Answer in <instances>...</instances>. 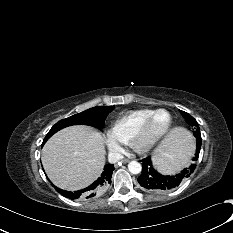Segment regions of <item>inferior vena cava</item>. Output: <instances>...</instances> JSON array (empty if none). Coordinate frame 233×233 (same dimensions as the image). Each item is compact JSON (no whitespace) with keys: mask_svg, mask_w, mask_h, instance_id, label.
<instances>
[{"mask_svg":"<svg viewBox=\"0 0 233 233\" xmlns=\"http://www.w3.org/2000/svg\"><path fill=\"white\" fill-rule=\"evenodd\" d=\"M122 159H123V155L118 152H110L108 154V160L112 164H115Z\"/></svg>","mask_w":233,"mask_h":233,"instance_id":"obj_1","label":"inferior vena cava"}]
</instances>
